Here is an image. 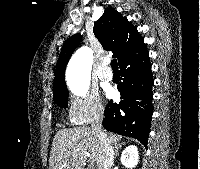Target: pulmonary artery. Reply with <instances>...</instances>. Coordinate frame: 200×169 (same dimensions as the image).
Returning <instances> with one entry per match:
<instances>
[{
  "mask_svg": "<svg viewBox=\"0 0 200 169\" xmlns=\"http://www.w3.org/2000/svg\"><path fill=\"white\" fill-rule=\"evenodd\" d=\"M98 77L105 82L111 81L113 79V74L109 67H107V63L103 64V68L98 71Z\"/></svg>",
  "mask_w": 200,
  "mask_h": 169,
  "instance_id": "1",
  "label": "pulmonary artery"
}]
</instances>
